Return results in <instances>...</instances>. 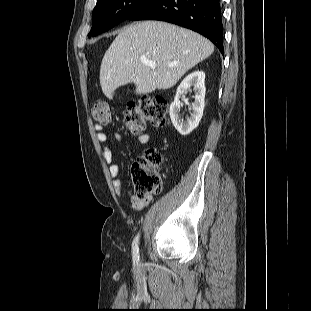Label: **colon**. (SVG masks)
Returning <instances> with one entry per match:
<instances>
[{"label": "colon", "mask_w": 311, "mask_h": 311, "mask_svg": "<svg viewBox=\"0 0 311 311\" xmlns=\"http://www.w3.org/2000/svg\"><path fill=\"white\" fill-rule=\"evenodd\" d=\"M168 103L161 96L145 95L137 101L130 102L124 113L127 128L137 134L144 131L146 124L164 127L167 123ZM92 118L100 124L111 121L108 103L98 100L91 108ZM161 153L155 148H148L142 158L133 165L131 175L135 194L147 196L158 193L162 187L163 174L160 171Z\"/></svg>", "instance_id": "1"}]
</instances>
